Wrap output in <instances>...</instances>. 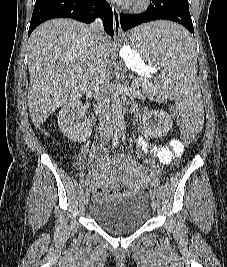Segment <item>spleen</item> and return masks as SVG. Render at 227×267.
<instances>
[{"label": "spleen", "instance_id": "3e777b00", "mask_svg": "<svg viewBox=\"0 0 227 267\" xmlns=\"http://www.w3.org/2000/svg\"><path fill=\"white\" fill-rule=\"evenodd\" d=\"M126 47H136L144 63H158L166 95L180 101V115H202L201 92L197 79L196 38H191L182 22L175 19H152L131 27L125 33ZM187 129H204L206 116H183Z\"/></svg>", "mask_w": 227, "mask_h": 267}]
</instances>
